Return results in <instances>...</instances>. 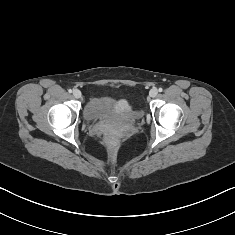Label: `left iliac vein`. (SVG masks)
<instances>
[{
    "mask_svg": "<svg viewBox=\"0 0 235 235\" xmlns=\"http://www.w3.org/2000/svg\"><path fill=\"white\" fill-rule=\"evenodd\" d=\"M158 94V90L156 88H152L149 92L150 97L154 98Z\"/></svg>",
    "mask_w": 235,
    "mask_h": 235,
    "instance_id": "1",
    "label": "left iliac vein"
}]
</instances>
